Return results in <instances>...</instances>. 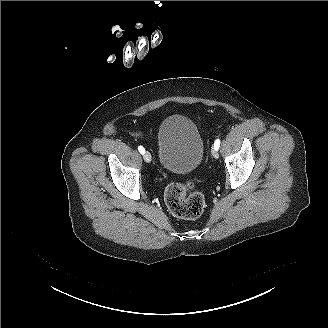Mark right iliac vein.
Returning <instances> with one entry per match:
<instances>
[{
	"label": "right iliac vein",
	"instance_id": "obj_1",
	"mask_svg": "<svg viewBox=\"0 0 328 328\" xmlns=\"http://www.w3.org/2000/svg\"><path fill=\"white\" fill-rule=\"evenodd\" d=\"M143 158H144L145 162H147V163L151 162V160H152V156H151L150 152H148V151H145V153L143 154Z\"/></svg>",
	"mask_w": 328,
	"mask_h": 328
}]
</instances>
